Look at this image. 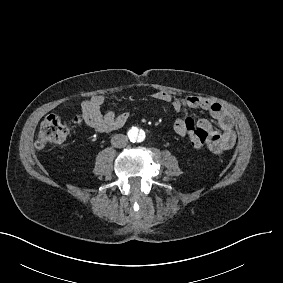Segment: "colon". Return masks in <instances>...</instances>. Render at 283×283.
<instances>
[{
  "label": "colon",
  "instance_id": "obj_1",
  "mask_svg": "<svg viewBox=\"0 0 283 283\" xmlns=\"http://www.w3.org/2000/svg\"><path fill=\"white\" fill-rule=\"evenodd\" d=\"M81 124V118L78 115H50L41 123L37 138L36 146L42 147L54 143H62L69 136L72 127H78ZM184 125L187 127L188 136L192 137V145L199 147L209 138V132L203 127H198L193 123L192 118H186Z\"/></svg>",
  "mask_w": 283,
  "mask_h": 283
}]
</instances>
